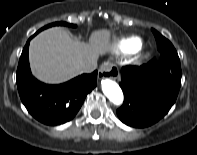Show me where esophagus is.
I'll return each instance as SVG.
<instances>
[{
	"mask_svg": "<svg viewBox=\"0 0 197 155\" xmlns=\"http://www.w3.org/2000/svg\"><path fill=\"white\" fill-rule=\"evenodd\" d=\"M119 76V69L112 63H104L99 68L100 78L116 79Z\"/></svg>",
	"mask_w": 197,
	"mask_h": 155,
	"instance_id": "1",
	"label": "esophagus"
}]
</instances>
